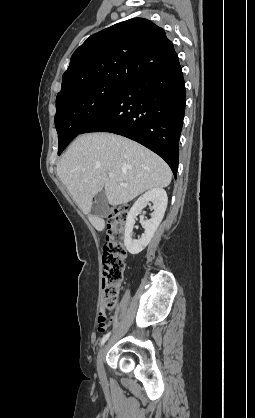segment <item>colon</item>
Wrapping results in <instances>:
<instances>
[{
    "mask_svg": "<svg viewBox=\"0 0 255 418\" xmlns=\"http://www.w3.org/2000/svg\"><path fill=\"white\" fill-rule=\"evenodd\" d=\"M109 225L102 254V289L105 310L114 308L118 287L124 278L127 251L124 246V231L128 218L127 205L112 207L108 213ZM98 326L103 330L106 326V315L101 311Z\"/></svg>",
    "mask_w": 255,
    "mask_h": 418,
    "instance_id": "1",
    "label": "colon"
}]
</instances>
